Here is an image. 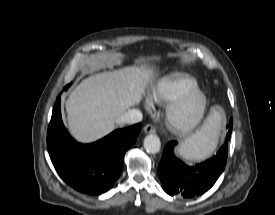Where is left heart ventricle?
<instances>
[{"instance_id":"left-heart-ventricle-1","label":"left heart ventricle","mask_w":275,"mask_h":215,"mask_svg":"<svg viewBox=\"0 0 275 215\" xmlns=\"http://www.w3.org/2000/svg\"><path fill=\"white\" fill-rule=\"evenodd\" d=\"M194 114V105L190 104L187 106L184 110L180 112V118L182 120H187L189 119L192 115Z\"/></svg>"}]
</instances>
